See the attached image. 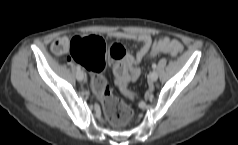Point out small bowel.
<instances>
[{
    "instance_id": "obj_1",
    "label": "small bowel",
    "mask_w": 238,
    "mask_h": 145,
    "mask_svg": "<svg viewBox=\"0 0 238 145\" xmlns=\"http://www.w3.org/2000/svg\"><path fill=\"white\" fill-rule=\"evenodd\" d=\"M111 36L116 39L134 40L141 43V47L135 55L126 54V56L123 59V64L127 69L128 78L131 81L137 80L141 75L139 63L145 58V56L149 52L150 47L153 43L152 37L149 34L144 33L138 34L124 31H115L111 34ZM160 41L173 43L178 48L182 49V45L176 39H173L171 37L162 36L158 38L156 43ZM68 42L69 38L67 37H59L55 39L51 46L52 52L56 55H63L68 53ZM159 53H167V52H159Z\"/></svg>"
}]
</instances>
